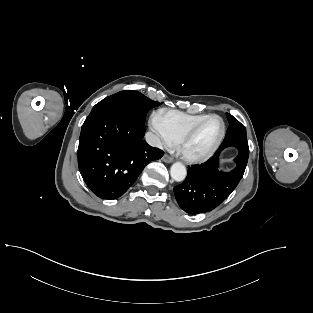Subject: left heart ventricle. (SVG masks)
<instances>
[{
	"instance_id": "1",
	"label": "left heart ventricle",
	"mask_w": 313,
	"mask_h": 313,
	"mask_svg": "<svg viewBox=\"0 0 313 313\" xmlns=\"http://www.w3.org/2000/svg\"><path fill=\"white\" fill-rule=\"evenodd\" d=\"M222 125L219 119L206 120L192 135L184 147L188 155L200 156L209 152L215 145L221 133Z\"/></svg>"
}]
</instances>
